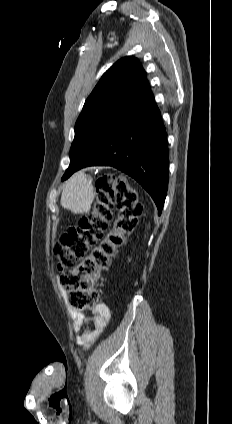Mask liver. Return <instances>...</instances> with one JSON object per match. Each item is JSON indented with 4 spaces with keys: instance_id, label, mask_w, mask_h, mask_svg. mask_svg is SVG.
I'll return each instance as SVG.
<instances>
[{
    "instance_id": "6515ba94",
    "label": "liver",
    "mask_w": 232,
    "mask_h": 424,
    "mask_svg": "<svg viewBox=\"0 0 232 424\" xmlns=\"http://www.w3.org/2000/svg\"><path fill=\"white\" fill-rule=\"evenodd\" d=\"M94 200L93 188L83 172H77L65 183L61 205L74 214L89 213Z\"/></svg>"
}]
</instances>
